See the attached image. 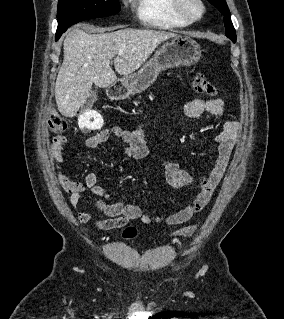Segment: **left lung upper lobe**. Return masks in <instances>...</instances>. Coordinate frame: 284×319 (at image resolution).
I'll return each instance as SVG.
<instances>
[{
    "mask_svg": "<svg viewBox=\"0 0 284 319\" xmlns=\"http://www.w3.org/2000/svg\"><path fill=\"white\" fill-rule=\"evenodd\" d=\"M213 4L223 15H224V25L226 27L225 33L228 38H230L234 43L236 42V32L233 27L230 11L225 0H208Z\"/></svg>",
    "mask_w": 284,
    "mask_h": 319,
    "instance_id": "5c2ea615",
    "label": "left lung upper lobe"
}]
</instances>
